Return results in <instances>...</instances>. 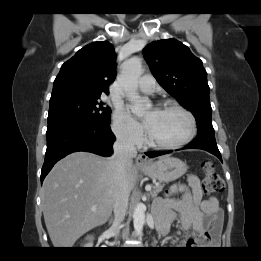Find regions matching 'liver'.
Masks as SVG:
<instances>
[{
  "label": "liver",
  "mask_w": 261,
  "mask_h": 261,
  "mask_svg": "<svg viewBox=\"0 0 261 261\" xmlns=\"http://www.w3.org/2000/svg\"><path fill=\"white\" fill-rule=\"evenodd\" d=\"M137 173L133 164L126 170L130 190ZM113 187L111 158L74 152L55 164L41 195L46 228L55 248H71L85 233L108 221Z\"/></svg>",
  "instance_id": "obj_1"
}]
</instances>
